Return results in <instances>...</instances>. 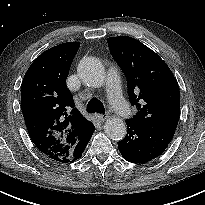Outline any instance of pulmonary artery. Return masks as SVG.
<instances>
[{
	"mask_svg": "<svg viewBox=\"0 0 205 205\" xmlns=\"http://www.w3.org/2000/svg\"><path fill=\"white\" fill-rule=\"evenodd\" d=\"M106 83L109 103L118 112L120 119L127 122L131 117V110L129 104L122 98L119 75L116 69L112 67L108 69Z\"/></svg>",
	"mask_w": 205,
	"mask_h": 205,
	"instance_id": "obj_1",
	"label": "pulmonary artery"
}]
</instances>
